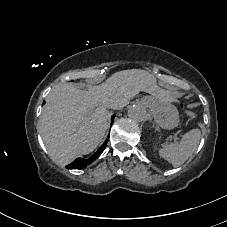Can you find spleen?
Here are the masks:
<instances>
[{"label":"spleen","mask_w":227,"mask_h":227,"mask_svg":"<svg viewBox=\"0 0 227 227\" xmlns=\"http://www.w3.org/2000/svg\"><path fill=\"white\" fill-rule=\"evenodd\" d=\"M201 138L199 129H192L185 133L179 142H174L159 149L160 157L167 160L173 167H179L196 150Z\"/></svg>","instance_id":"1"}]
</instances>
